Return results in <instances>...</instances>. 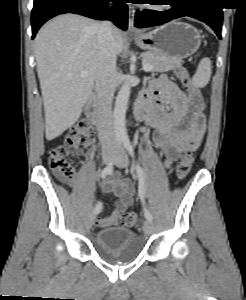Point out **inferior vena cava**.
<instances>
[{
	"mask_svg": "<svg viewBox=\"0 0 246 300\" xmlns=\"http://www.w3.org/2000/svg\"><path fill=\"white\" fill-rule=\"evenodd\" d=\"M113 25L109 21L98 24L99 64L96 75L97 130L103 152L116 149L117 141L113 130L112 102L116 90V45Z\"/></svg>",
	"mask_w": 246,
	"mask_h": 300,
	"instance_id": "602c4592",
	"label": "inferior vena cava"
}]
</instances>
